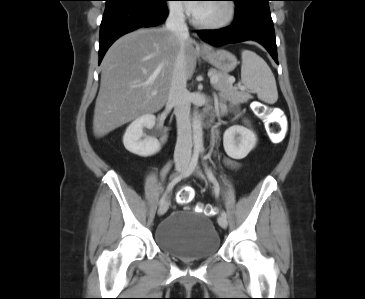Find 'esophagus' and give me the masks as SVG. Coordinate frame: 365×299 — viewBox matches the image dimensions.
Segmentation results:
<instances>
[{
  "label": "esophagus",
  "instance_id": "1",
  "mask_svg": "<svg viewBox=\"0 0 365 299\" xmlns=\"http://www.w3.org/2000/svg\"><path fill=\"white\" fill-rule=\"evenodd\" d=\"M196 47L199 50H202V49L205 48V46L202 44V42L200 40H198V39H196Z\"/></svg>",
  "mask_w": 365,
  "mask_h": 299
}]
</instances>
